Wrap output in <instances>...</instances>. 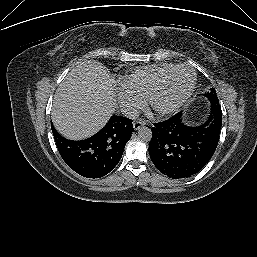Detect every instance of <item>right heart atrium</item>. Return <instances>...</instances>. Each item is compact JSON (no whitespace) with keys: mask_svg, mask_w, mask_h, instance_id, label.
<instances>
[{"mask_svg":"<svg viewBox=\"0 0 257 257\" xmlns=\"http://www.w3.org/2000/svg\"><path fill=\"white\" fill-rule=\"evenodd\" d=\"M119 101L123 110L129 115H136L145 106V100L132 91L122 88L119 93Z\"/></svg>","mask_w":257,"mask_h":257,"instance_id":"d8ad5b80","label":"right heart atrium"}]
</instances>
